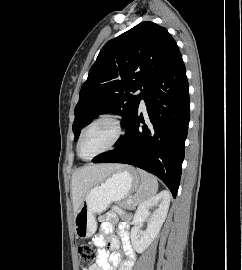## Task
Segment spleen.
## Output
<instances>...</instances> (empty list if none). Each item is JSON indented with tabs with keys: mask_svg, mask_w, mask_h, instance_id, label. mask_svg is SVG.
<instances>
[{
	"mask_svg": "<svg viewBox=\"0 0 242 270\" xmlns=\"http://www.w3.org/2000/svg\"><path fill=\"white\" fill-rule=\"evenodd\" d=\"M141 176V185L134 195V202L141 204L143 201L152 198L158 190V182L156 177L153 175L138 169Z\"/></svg>",
	"mask_w": 242,
	"mask_h": 270,
	"instance_id": "3e777b00",
	"label": "spleen"
}]
</instances>
